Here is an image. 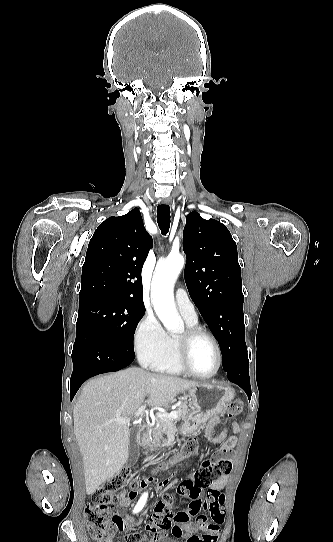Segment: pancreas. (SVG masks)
I'll return each instance as SVG.
<instances>
[{
    "label": "pancreas",
    "mask_w": 333,
    "mask_h": 542,
    "mask_svg": "<svg viewBox=\"0 0 333 542\" xmlns=\"http://www.w3.org/2000/svg\"><path fill=\"white\" fill-rule=\"evenodd\" d=\"M188 406L189 404H187V402H182L180 406H177L174 412H178L179 418H176V420H169V418H166V420H161V418H157L156 426H154V428H150V436L152 440H150L148 450L145 452V454H149V452H156V450L165 448V436H167L169 432H174V430H176L177 422H180V420L187 422L188 418H191L192 414L188 412Z\"/></svg>",
    "instance_id": "obj_1"
}]
</instances>
